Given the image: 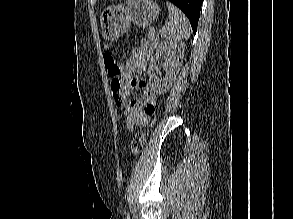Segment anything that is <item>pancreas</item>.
<instances>
[{"mask_svg": "<svg viewBox=\"0 0 293 219\" xmlns=\"http://www.w3.org/2000/svg\"><path fill=\"white\" fill-rule=\"evenodd\" d=\"M147 37H148L149 41L151 42V44H152L153 46L157 45V42H158V38H159V36H158V34L156 33L155 29L150 28V29L148 30V36H147Z\"/></svg>", "mask_w": 293, "mask_h": 219, "instance_id": "1", "label": "pancreas"}]
</instances>
